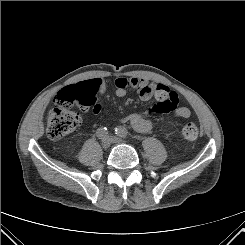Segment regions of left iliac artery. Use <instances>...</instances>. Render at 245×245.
<instances>
[{"label":"left iliac artery","instance_id":"left-iliac-artery-1","mask_svg":"<svg viewBox=\"0 0 245 245\" xmlns=\"http://www.w3.org/2000/svg\"><path fill=\"white\" fill-rule=\"evenodd\" d=\"M115 133L120 136V137H127L128 136V131L126 128L122 127V126H119L117 128H115Z\"/></svg>","mask_w":245,"mask_h":245}]
</instances>
